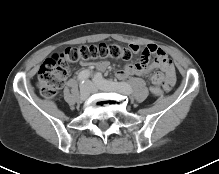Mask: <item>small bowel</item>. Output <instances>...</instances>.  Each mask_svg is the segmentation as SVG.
Here are the masks:
<instances>
[{"instance_id":"obj_1","label":"small bowel","mask_w":219,"mask_h":174,"mask_svg":"<svg viewBox=\"0 0 219 174\" xmlns=\"http://www.w3.org/2000/svg\"><path fill=\"white\" fill-rule=\"evenodd\" d=\"M131 48L138 52L140 46L137 44L130 45ZM151 54L155 55L154 62L152 67L160 69L162 72H157L152 75V81L155 84L162 85L165 90H170L175 83V69L168 58L167 54L160 47L154 44H149L143 48L142 60H149ZM148 65V64H147ZM95 67L99 70H104L108 67L107 62H98L95 64ZM148 73V67H144L141 63L139 64H129L125 66L124 69L120 70L117 73L119 79H125L133 75H145Z\"/></svg>"}]
</instances>
